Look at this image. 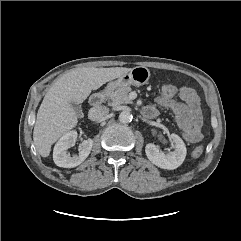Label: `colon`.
<instances>
[{
  "instance_id": "obj_1",
  "label": "colon",
  "mask_w": 241,
  "mask_h": 241,
  "mask_svg": "<svg viewBox=\"0 0 241 241\" xmlns=\"http://www.w3.org/2000/svg\"><path fill=\"white\" fill-rule=\"evenodd\" d=\"M176 92H177V88L173 84H165L161 88L160 96L168 100L173 98ZM203 151L204 150L202 147H197L193 151V156L195 158H199L203 154Z\"/></svg>"
}]
</instances>
